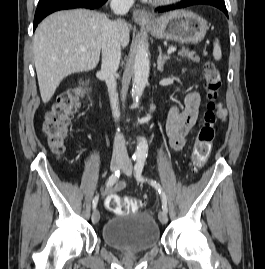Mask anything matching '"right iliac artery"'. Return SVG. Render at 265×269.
I'll return each instance as SVG.
<instances>
[{"label": "right iliac artery", "mask_w": 265, "mask_h": 269, "mask_svg": "<svg viewBox=\"0 0 265 269\" xmlns=\"http://www.w3.org/2000/svg\"><path fill=\"white\" fill-rule=\"evenodd\" d=\"M132 159L135 161L137 159V157L133 156ZM119 177H120V171L118 170L108 178V180L106 182V186L107 187L113 186L118 181ZM98 200H99V196L97 195L94 197V199L92 201L93 209L96 208V206L98 204Z\"/></svg>", "instance_id": "obj_1"}]
</instances>
